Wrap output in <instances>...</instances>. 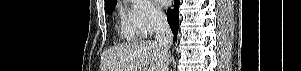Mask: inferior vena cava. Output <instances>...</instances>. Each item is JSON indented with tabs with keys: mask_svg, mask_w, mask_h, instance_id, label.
I'll return each instance as SVG.
<instances>
[{
	"mask_svg": "<svg viewBox=\"0 0 301 71\" xmlns=\"http://www.w3.org/2000/svg\"><path fill=\"white\" fill-rule=\"evenodd\" d=\"M154 22H155L154 42L163 55L169 56V49L173 44V34L167 22V18L162 13H155ZM168 66H169V61L167 60L165 66L166 69H164L165 71H168Z\"/></svg>",
	"mask_w": 301,
	"mask_h": 71,
	"instance_id": "obj_1",
	"label": "inferior vena cava"
}]
</instances>
